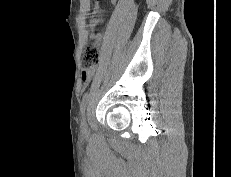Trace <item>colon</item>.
<instances>
[{
    "label": "colon",
    "instance_id": "colon-1",
    "mask_svg": "<svg viewBox=\"0 0 231 177\" xmlns=\"http://www.w3.org/2000/svg\"><path fill=\"white\" fill-rule=\"evenodd\" d=\"M99 50L94 42L89 43L83 51V61L86 70H91L99 63Z\"/></svg>",
    "mask_w": 231,
    "mask_h": 177
}]
</instances>
